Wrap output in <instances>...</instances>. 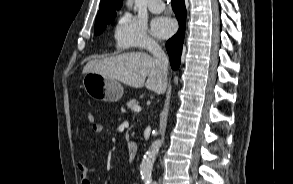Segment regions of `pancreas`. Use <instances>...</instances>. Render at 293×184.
I'll use <instances>...</instances> for the list:
<instances>
[{
    "mask_svg": "<svg viewBox=\"0 0 293 184\" xmlns=\"http://www.w3.org/2000/svg\"><path fill=\"white\" fill-rule=\"evenodd\" d=\"M138 105V101L136 99H131L129 102H127V107L130 109H133L135 106ZM126 140H129V136L126 135Z\"/></svg>",
    "mask_w": 293,
    "mask_h": 184,
    "instance_id": "cf45deb5",
    "label": "pancreas"
}]
</instances>
